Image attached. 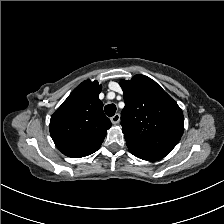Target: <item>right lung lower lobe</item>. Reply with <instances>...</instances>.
<instances>
[{
  "label": "right lung lower lobe",
  "mask_w": 224,
  "mask_h": 224,
  "mask_svg": "<svg viewBox=\"0 0 224 224\" xmlns=\"http://www.w3.org/2000/svg\"><path fill=\"white\" fill-rule=\"evenodd\" d=\"M55 145L66 156L73 157V158L84 157L79 152L77 145H75L72 142L59 140V141H55Z\"/></svg>",
  "instance_id": "1"
}]
</instances>
